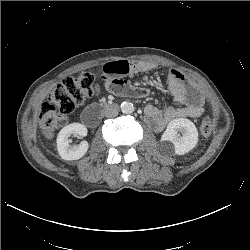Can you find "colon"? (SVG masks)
Masks as SVG:
<instances>
[{"label": "colon", "instance_id": "5ec220e1", "mask_svg": "<svg viewBox=\"0 0 250 250\" xmlns=\"http://www.w3.org/2000/svg\"><path fill=\"white\" fill-rule=\"evenodd\" d=\"M94 81L91 73L84 72L67 77L54 87L39 111L40 127L46 138H52L68 115L93 95ZM212 129L213 122L210 118L200 120L198 130L202 138H208Z\"/></svg>", "mask_w": 250, "mask_h": 250}]
</instances>
